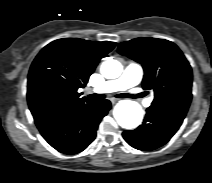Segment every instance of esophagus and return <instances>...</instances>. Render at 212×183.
<instances>
[{"mask_svg": "<svg viewBox=\"0 0 212 183\" xmlns=\"http://www.w3.org/2000/svg\"><path fill=\"white\" fill-rule=\"evenodd\" d=\"M117 101H119V99H117V98H112L111 99L112 104H115Z\"/></svg>", "mask_w": 212, "mask_h": 183, "instance_id": "obj_1", "label": "esophagus"}]
</instances>
